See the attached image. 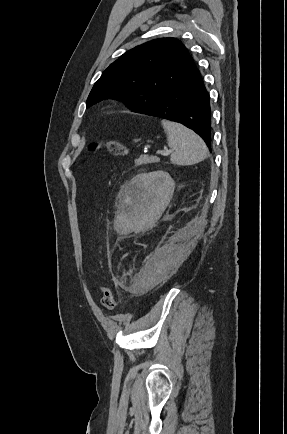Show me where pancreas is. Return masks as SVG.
<instances>
[{
	"mask_svg": "<svg viewBox=\"0 0 287 434\" xmlns=\"http://www.w3.org/2000/svg\"><path fill=\"white\" fill-rule=\"evenodd\" d=\"M159 162V158L155 156H149V155H141L138 159L135 160V165H143V164H149V163H157Z\"/></svg>",
	"mask_w": 287,
	"mask_h": 434,
	"instance_id": "cf45deb5",
	"label": "pancreas"
}]
</instances>
